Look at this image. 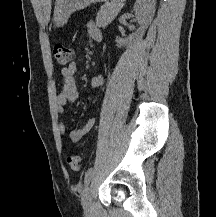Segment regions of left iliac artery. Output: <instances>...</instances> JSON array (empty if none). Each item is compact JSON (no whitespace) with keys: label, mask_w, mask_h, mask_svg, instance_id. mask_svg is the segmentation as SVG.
Returning <instances> with one entry per match:
<instances>
[{"label":"left iliac artery","mask_w":216,"mask_h":217,"mask_svg":"<svg viewBox=\"0 0 216 217\" xmlns=\"http://www.w3.org/2000/svg\"><path fill=\"white\" fill-rule=\"evenodd\" d=\"M93 174V168H89L85 173L84 184L87 186Z\"/></svg>","instance_id":"1"}]
</instances>
